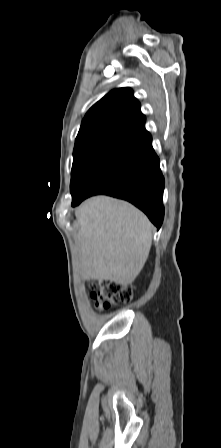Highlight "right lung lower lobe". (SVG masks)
Here are the masks:
<instances>
[{"label": "right lung lower lobe", "mask_w": 221, "mask_h": 448, "mask_svg": "<svg viewBox=\"0 0 221 448\" xmlns=\"http://www.w3.org/2000/svg\"><path fill=\"white\" fill-rule=\"evenodd\" d=\"M159 162L152 137L144 128L103 158L72 200V206L93 195H110L137 206L159 229L164 217V177Z\"/></svg>", "instance_id": "obj_1"}]
</instances>
